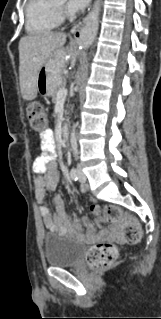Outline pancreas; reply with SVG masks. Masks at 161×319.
I'll return each mask as SVG.
<instances>
[{"label": "pancreas", "instance_id": "cf45deb5", "mask_svg": "<svg viewBox=\"0 0 161 319\" xmlns=\"http://www.w3.org/2000/svg\"><path fill=\"white\" fill-rule=\"evenodd\" d=\"M64 87V83L63 82H61V84L55 89V91L53 92V94H52V101L55 103L57 100H58V98H57V92L60 90V89H62Z\"/></svg>", "mask_w": 161, "mask_h": 319}]
</instances>
